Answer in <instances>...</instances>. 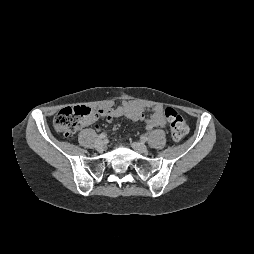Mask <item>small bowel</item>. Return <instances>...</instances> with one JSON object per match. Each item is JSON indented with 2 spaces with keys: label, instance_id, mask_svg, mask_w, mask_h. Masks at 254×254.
I'll return each instance as SVG.
<instances>
[{
  "label": "small bowel",
  "instance_id": "1",
  "mask_svg": "<svg viewBox=\"0 0 254 254\" xmlns=\"http://www.w3.org/2000/svg\"><path fill=\"white\" fill-rule=\"evenodd\" d=\"M163 110L164 108L161 105L144 107L135 102L123 101L116 107L99 110V114L108 122L122 116L132 121H142L145 123L146 129L151 130L154 128H164L166 126ZM95 120L90 123H94Z\"/></svg>",
  "mask_w": 254,
  "mask_h": 254
}]
</instances>
